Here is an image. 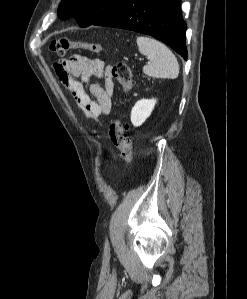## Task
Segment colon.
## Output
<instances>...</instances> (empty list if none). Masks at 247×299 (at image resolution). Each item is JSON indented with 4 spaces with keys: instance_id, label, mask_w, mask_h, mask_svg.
I'll return each instance as SVG.
<instances>
[{
    "instance_id": "colon-1",
    "label": "colon",
    "mask_w": 247,
    "mask_h": 299,
    "mask_svg": "<svg viewBox=\"0 0 247 299\" xmlns=\"http://www.w3.org/2000/svg\"><path fill=\"white\" fill-rule=\"evenodd\" d=\"M51 52L63 56L71 49H82L101 55L104 49L101 45L86 41L61 37L50 41ZM110 75L121 86L122 91L128 94L133 87L132 72L130 67L124 62H117L110 70ZM109 137L112 144L120 151L121 158L131 165L133 160L132 145L128 136V125L121 118L113 119L109 125Z\"/></svg>"
}]
</instances>
